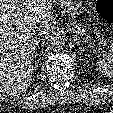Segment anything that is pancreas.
Returning <instances> with one entry per match:
<instances>
[{
    "instance_id": "pancreas-1",
    "label": "pancreas",
    "mask_w": 113,
    "mask_h": 113,
    "mask_svg": "<svg viewBox=\"0 0 113 113\" xmlns=\"http://www.w3.org/2000/svg\"><path fill=\"white\" fill-rule=\"evenodd\" d=\"M72 25L78 29V33H80L81 35H85V31L81 29L78 23L72 22Z\"/></svg>"
}]
</instances>
